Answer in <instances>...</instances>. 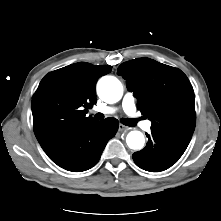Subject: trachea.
<instances>
[{
    "instance_id": "3493384b",
    "label": "trachea",
    "mask_w": 221,
    "mask_h": 221,
    "mask_svg": "<svg viewBox=\"0 0 221 221\" xmlns=\"http://www.w3.org/2000/svg\"><path fill=\"white\" fill-rule=\"evenodd\" d=\"M95 119L97 120H102L104 119V115L102 113H97L95 116ZM121 122L126 125V126H130V127H133L136 125V122L134 119H129V118H122L121 119Z\"/></svg>"
}]
</instances>
